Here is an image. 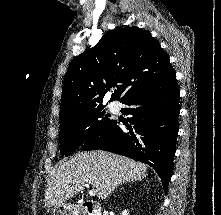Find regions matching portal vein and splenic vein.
<instances>
[{"mask_svg":"<svg viewBox=\"0 0 221 215\" xmlns=\"http://www.w3.org/2000/svg\"><path fill=\"white\" fill-rule=\"evenodd\" d=\"M90 196H95L96 195V190L92 189L89 191Z\"/></svg>","mask_w":221,"mask_h":215,"instance_id":"18ae733b","label":"portal vein and splenic vein"}]
</instances>
